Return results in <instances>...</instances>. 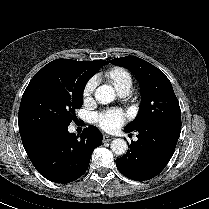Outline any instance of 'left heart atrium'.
<instances>
[{"label": "left heart atrium", "mask_w": 209, "mask_h": 209, "mask_svg": "<svg viewBox=\"0 0 209 209\" xmlns=\"http://www.w3.org/2000/svg\"><path fill=\"white\" fill-rule=\"evenodd\" d=\"M95 121L103 130L113 131L124 123L125 114L119 109H109L96 114Z\"/></svg>", "instance_id": "left-heart-atrium-1"}]
</instances>
